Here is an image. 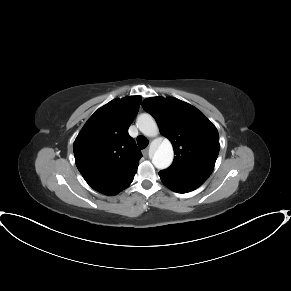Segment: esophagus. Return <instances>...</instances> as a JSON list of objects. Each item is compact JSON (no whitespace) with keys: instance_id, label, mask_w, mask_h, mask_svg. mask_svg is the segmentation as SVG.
I'll return each mask as SVG.
<instances>
[{"instance_id":"34e87169","label":"esophagus","mask_w":291,"mask_h":291,"mask_svg":"<svg viewBox=\"0 0 291 291\" xmlns=\"http://www.w3.org/2000/svg\"><path fill=\"white\" fill-rule=\"evenodd\" d=\"M144 155L147 156L148 155V149L144 150Z\"/></svg>"}]
</instances>
